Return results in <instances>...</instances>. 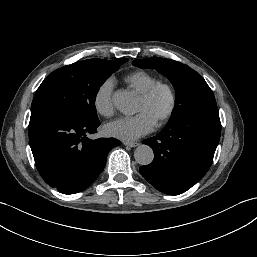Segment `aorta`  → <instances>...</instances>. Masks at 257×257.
I'll return each instance as SVG.
<instances>
[{
  "mask_svg": "<svg viewBox=\"0 0 257 257\" xmlns=\"http://www.w3.org/2000/svg\"><path fill=\"white\" fill-rule=\"evenodd\" d=\"M114 106L125 115L135 113L136 99L127 91H118L113 96ZM134 158L140 165H149L154 158L153 150L148 145H139L134 151Z\"/></svg>",
  "mask_w": 257,
  "mask_h": 257,
  "instance_id": "obj_1",
  "label": "aorta"
}]
</instances>
